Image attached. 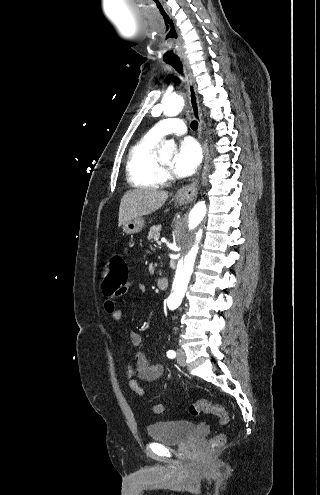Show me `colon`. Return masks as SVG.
<instances>
[{"label": "colon", "instance_id": "1", "mask_svg": "<svg viewBox=\"0 0 320 495\" xmlns=\"http://www.w3.org/2000/svg\"><path fill=\"white\" fill-rule=\"evenodd\" d=\"M128 277V268L125 261L120 256L111 257L105 266L103 291L105 293L117 292L120 293L126 284ZM155 414H162L164 406L161 403L153 405ZM189 412L192 416L197 417L202 414L214 415L218 418L220 424L225 425L229 421L227 411L219 404L213 403L208 399H199L190 405ZM225 441V436L219 433L212 437L208 442L210 451H214L221 447Z\"/></svg>", "mask_w": 320, "mask_h": 495}]
</instances>
